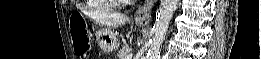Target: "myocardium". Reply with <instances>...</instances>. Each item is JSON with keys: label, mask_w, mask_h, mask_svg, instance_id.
Listing matches in <instances>:
<instances>
[{"label": "myocardium", "mask_w": 261, "mask_h": 59, "mask_svg": "<svg viewBox=\"0 0 261 59\" xmlns=\"http://www.w3.org/2000/svg\"><path fill=\"white\" fill-rule=\"evenodd\" d=\"M123 2H125V1H122V0H118V1H117V3H123Z\"/></svg>", "instance_id": "1"}]
</instances>
